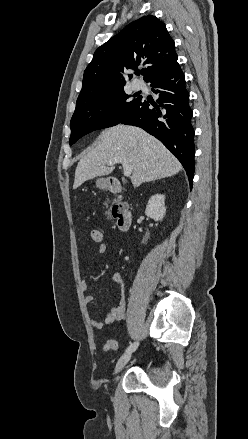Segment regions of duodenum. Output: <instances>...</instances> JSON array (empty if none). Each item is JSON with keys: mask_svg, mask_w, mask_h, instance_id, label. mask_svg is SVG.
<instances>
[{"mask_svg": "<svg viewBox=\"0 0 248 439\" xmlns=\"http://www.w3.org/2000/svg\"><path fill=\"white\" fill-rule=\"evenodd\" d=\"M107 189L109 190V192L117 195L121 199L124 196L123 186L121 182L117 179H110L108 181ZM112 214L120 231L124 232L130 228L133 216L130 209L125 203H123L121 200L116 202L113 205Z\"/></svg>", "mask_w": 248, "mask_h": 439, "instance_id": "410a0bca", "label": "duodenum"}]
</instances>
